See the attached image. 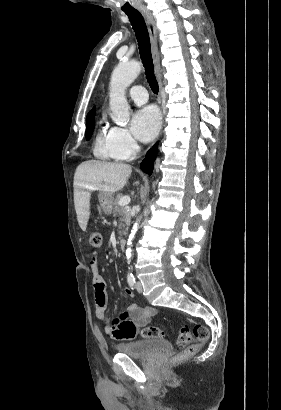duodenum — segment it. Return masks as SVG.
I'll use <instances>...</instances> for the list:
<instances>
[{
	"label": "duodenum",
	"instance_id": "duodenum-1",
	"mask_svg": "<svg viewBox=\"0 0 281 410\" xmlns=\"http://www.w3.org/2000/svg\"><path fill=\"white\" fill-rule=\"evenodd\" d=\"M126 243H127V242H126L125 239L120 240V241L118 242L119 248H120L121 250H124L125 247H126Z\"/></svg>",
	"mask_w": 281,
	"mask_h": 410
}]
</instances>
